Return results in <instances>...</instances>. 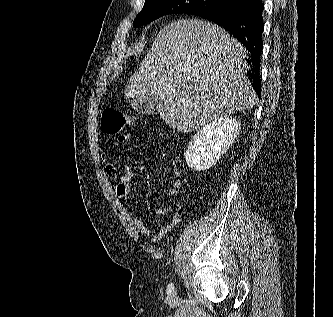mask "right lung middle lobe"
Masks as SVG:
<instances>
[{
  "label": "right lung middle lobe",
  "mask_w": 333,
  "mask_h": 317,
  "mask_svg": "<svg viewBox=\"0 0 333 317\" xmlns=\"http://www.w3.org/2000/svg\"><path fill=\"white\" fill-rule=\"evenodd\" d=\"M227 3L225 0H145L142 11L133 22L134 27L148 24L168 14H193L209 11Z\"/></svg>",
  "instance_id": "1"
}]
</instances>
